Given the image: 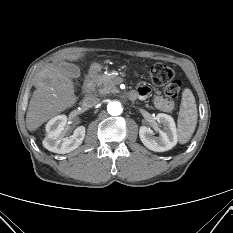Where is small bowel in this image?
Returning <instances> with one entry per match:
<instances>
[{
	"instance_id": "c3829d8e",
	"label": "small bowel",
	"mask_w": 233,
	"mask_h": 233,
	"mask_svg": "<svg viewBox=\"0 0 233 233\" xmlns=\"http://www.w3.org/2000/svg\"><path fill=\"white\" fill-rule=\"evenodd\" d=\"M137 97L145 99L149 96L151 89L147 85H141L136 91ZM155 106L164 112H170L174 109V102L170 99L163 97L159 92L154 97Z\"/></svg>"
}]
</instances>
